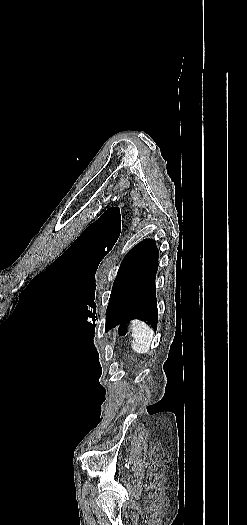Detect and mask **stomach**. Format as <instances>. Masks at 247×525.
Here are the masks:
<instances>
[{
  "mask_svg": "<svg viewBox=\"0 0 247 525\" xmlns=\"http://www.w3.org/2000/svg\"><path fill=\"white\" fill-rule=\"evenodd\" d=\"M119 333H120L121 335H124V334L126 333V327H120V328H119Z\"/></svg>",
  "mask_w": 247,
  "mask_h": 525,
  "instance_id": "0dacf381",
  "label": "stomach"
}]
</instances>
